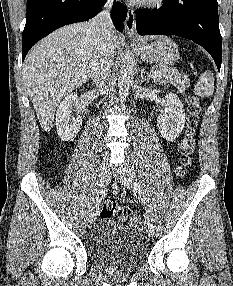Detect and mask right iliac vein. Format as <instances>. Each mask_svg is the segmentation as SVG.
Segmentation results:
<instances>
[{
    "label": "right iliac vein",
    "instance_id": "63e3f726",
    "mask_svg": "<svg viewBox=\"0 0 233 286\" xmlns=\"http://www.w3.org/2000/svg\"><path fill=\"white\" fill-rule=\"evenodd\" d=\"M110 179V172L107 166H103L101 172L99 174V190L97 192L98 199H95L91 213H90V221L93 223L97 219V215L99 212V205L103 196L104 188L108 184Z\"/></svg>",
    "mask_w": 233,
    "mask_h": 286
}]
</instances>
